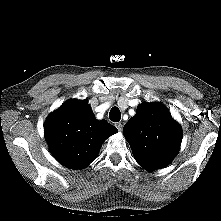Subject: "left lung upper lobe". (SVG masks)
I'll use <instances>...</instances> for the list:
<instances>
[{"mask_svg":"<svg viewBox=\"0 0 221 221\" xmlns=\"http://www.w3.org/2000/svg\"><path fill=\"white\" fill-rule=\"evenodd\" d=\"M137 163L148 171L168 165L180 149L182 131L160 103H144L124 126Z\"/></svg>","mask_w":221,"mask_h":221,"instance_id":"left-lung-upper-lobe-1","label":"left lung upper lobe"}]
</instances>
